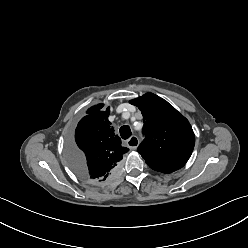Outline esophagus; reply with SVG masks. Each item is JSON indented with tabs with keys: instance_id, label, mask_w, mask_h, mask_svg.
<instances>
[{
	"instance_id": "esophagus-1",
	"label": "esophagus",
	"mask_w": 248,
	"mask_h": 248,
	"mask_svg": "<svg viewBox=\"0 0 248 248\" xmlns=\"http://www.w3.org/2000/svg\"><path fill=\"white\" fill-rule=\"evenodd\" d=\"M139 145V139L136 136H131L128 140H127V146L131 149V150H135Z\"/></svg>"
}]
</instances>
